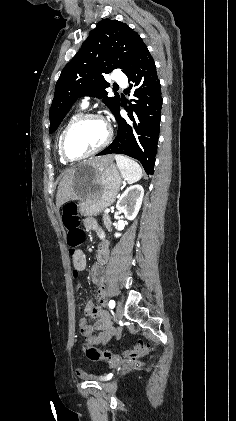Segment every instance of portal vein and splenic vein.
<instances>
[{"mask_svg":"<svg viewBox=\"0 0 236 421\" xmlns=\"http://www.w3.org/2000/svg\"><path fill=\"white\" fill-rule=\"evenodd\" d=\"M105 213H110V208H106Z\"/></svg>","mask_w":236,"mask_h":421,"instance_id":"obj_1","label":"portal vein and splenic vein"}]
</instances>
